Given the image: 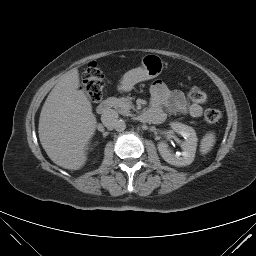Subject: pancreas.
Returning a JSON list of instances; mask_svg holds the SVG:
<instances>
[{
    "mask_svg": "<svg viewBox=\"0 0 256 256\" xmlns=\"http://www.w3.org/2000/svg\"><path fill=\"white\" fill-rule=\"evenodd\" d=\"M112 106L122 115L130 116V110L134 109L132 102L128 98H115L111 99Z\"/></svg>",
    "mask_w": 256,
    "mask_h": 256,
    "instance_id": "cf45deb5",
    "label": "pancreas"
}]
</instances>
